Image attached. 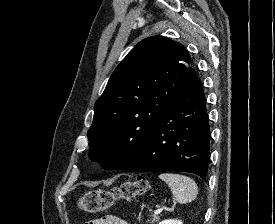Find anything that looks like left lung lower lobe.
I'll list each match as a JSON object with an SVG mask.
<instances>
[{
    "label": "left lung lower lobe",
    "instance_id": "left-lung-lower-lobe-1",
    "mask_svg": "<svg viewBox=\"0 0 275 224\" xmlns=\"http://www.w3.org/2000/svg\"><path fill=\"white\" fill-rule=\"evenodd\" d=\"M210 127L201 82L195 75L153 126L125 171L191 172L206 181Z\"/></svg>",
    "mask_w": 275,
    "mask_h": 224
}]
</instances>
